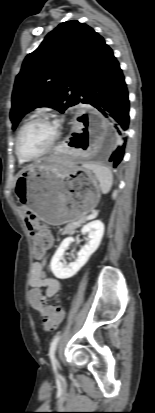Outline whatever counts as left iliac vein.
<instances>
[{
	"label": "left iliac vein",
	"instance_id": "4c4485c4",
	"mask_svg": "<svg viewBox=\"0 0 155 413\" xmlns=\"http://www.w3.org/2000/svg\"><path fill=\"white\" fill-rule=\"evenodd\" d=\"M55 365H56L57 367H59V362H58V360H56Z\"/></svg>",
	"mask_w": 155,
	"mask_h": 413
}]
</instances>
